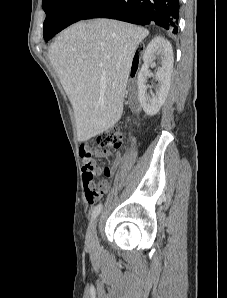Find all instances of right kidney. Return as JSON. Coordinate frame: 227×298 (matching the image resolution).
Masks as SVG:
<instances>
[{
	"instance_id": "1",
	"label": "right kidney",
	"mask_w": 227,
	"mask_h": 298,
	"mask_svg": "<svg viewBox=\"0 0 227 298\" xmlns=\"http://www.w3.org/2000/svg\"><path fill=\"white\" fill-rule=\"evenodd\" d=\"M160 62V67L156 72L158 86L151 96L147 94V78L150 76L149 65L155 59ZM144 64L138 73V98L144 112L148 116H154L158 113L167 97L171 74L173 70V50L169 41L163 37H155L147 46L143 55Z\"/></svg>"
}]
</instances>
